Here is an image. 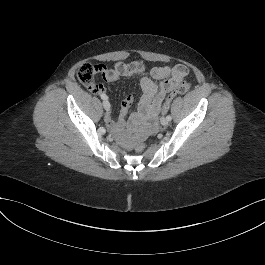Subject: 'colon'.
<instances>
[{
	"label": "colon",
	"instance_id": "colon-1",
	"mask_svg": "<svg viewBox=\"0 0 265 265\" xmlns=\"http://www.w3.org/2000/svg\"><path fill=\"white\" fill-rule=\"evenodd\" d=\"M98 73H100L99 65L85 63L78 68L77 77L82 84L90 88L93 85H95L94 82H95L96 75ZM189 88H190V85L187 82L183 81L177 84L166 97L162 105L161 111L166 112L169 109L172 100L176 96L186 93L189 90ZM134 148L136 152L142 153L146 149V145L143 141H137L134 145Z\"/></svg>",
	"mask_w": 265,
	"mask_h": 265
}]
</instances>
